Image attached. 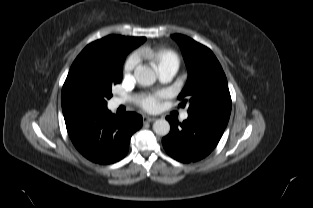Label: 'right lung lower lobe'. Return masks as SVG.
Wrapping results in <instances>:
<instances>
[{
	"instance_id": "right-lung-lower-lobe-1",
	"label": "right lung lower lobe",
	"mask_w": 313,
	"mask_h": 208,
	"mask_svg": "<svg viewBox=\"0 0 313 208\" xmlns=\"http://www.w3.org/2000/svg\"><path fill=\"white\" fill-rule=\"evenodd\" d=\"M61 103L74 146L95 163L110 164L124 158L132 134L142 126V117L136 113L116 116L107 109V105L71 98H62Z\"/></svg>"
}]
</instances>
